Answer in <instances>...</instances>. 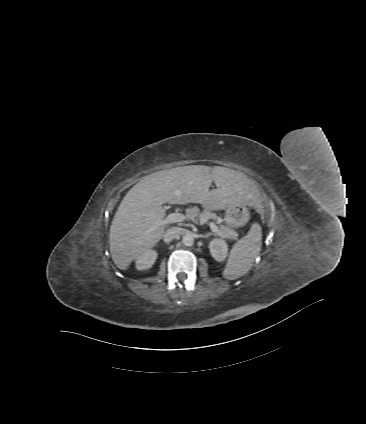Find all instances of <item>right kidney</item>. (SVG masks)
<instances>
[{"label":"right kidney","instance_id":"ca27d5eb","mask_svg":"<svg viewBox=\"0 0 366 424\" xmlns=\"http://www.w3.org/2000/svg\"><path fill=\"white\" fill-rule=\"evenodd\" d=\"M157 252L155 250H147L139 255L136 259V268L138 270H146L152 267L157 259Z\"/></svg>","mask_w":366,"mask_h":424}]
</instances>
